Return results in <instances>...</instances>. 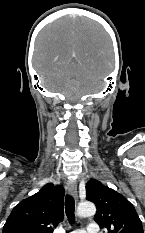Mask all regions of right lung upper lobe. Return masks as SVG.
I'll list each match as a JSON object with an SVG mask.
<instances>
[{
    "label": "right lung upper lobe",
    "instance_id": "cb5924a9",
    "mask_svg": "<svg viewBox=\"0 0 145 233\" xmlns=\"http://www.w3.org/2000/svg\"><path fill=\"white\" fill-rule=\"evenodd\" d=\"M63 201L64 188L47 183L13 208L3 233H52L64 218Z\"/></svg>",
    "mask_w": 145,
    "mask_h": 233
}]
</instances>
